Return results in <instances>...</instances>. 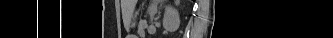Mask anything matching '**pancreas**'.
<instances>
[{"mask_svg":"<svg viewBox=\"0 0 333 38\" xmlns=\"http://www.w3.org/2000/svg\"><path fill=\"white\" fill-rule=\"evenodd\" d=\"M144 28H145V24L144 23H141L140 26H139V32L141 34H144Z\"/></svg>","mask_w":333,"mask_h":38,"instance_id":"pancreas-1","label":"pancreas"}]
</instances>
